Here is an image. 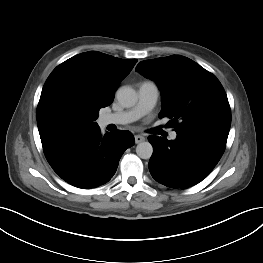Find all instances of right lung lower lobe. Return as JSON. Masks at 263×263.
<instances>
[{"label": "right lung lower lobe", "instance_id": "right-lung-lower-lobe-1", "mask_svg": "<svg viewBox=\"0 0 263 263\" xmlns=\"http://www.w3.org/2000/svg\"><path fill=\"white\" fill-rule=\"evenodd\" d=\"M44 154L53 170L69 184L96 188L115 174L124 151L135 143L124 130L101 135L93 129L41 139Z\"/></svg>", "mask_w": 263, "mask_h": 263}]
</instances>
